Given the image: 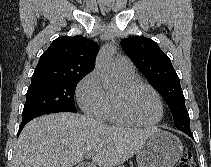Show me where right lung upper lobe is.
Returning a JSON list of instances; mask_svg holds the SVG:
<instances>
[{
    "label": "right lung upper lobe",
    "instance_id": "cb5924a9",
    "mask_svg": "<svg viewBox=\"0 0 211 167\" xmlns=\"http://www.w3.org/2000/svg\"><path fill=\"white\" fill-rule=\"evenodd\" d=\"M99 46L81 36L59 37L41 55L31 82L84 77L95 67Z\"/></svg>",
    "mask_w": 211,
    "mask_h": 167
}]
</instances>
